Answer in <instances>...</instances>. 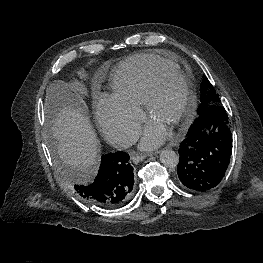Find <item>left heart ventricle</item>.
Here are the masks:
<instances>
[{
  "label": "left heart ventricle",
  "mask_w": 263,
  "mask_h": 263,
  "mask_svg": "<svg viewBox=\"0 0 263 263\" xmlns=\"http://www.w3.org/2000/svg\"><path fill=\"white\" fill-rule=\"evenodd\" d=\"M184 101L183 83L175 77H165L156 93L151 120L169 131L180 114Z\"/></svg>",
  "instance_id": "obj_1"
}]
</instances>
